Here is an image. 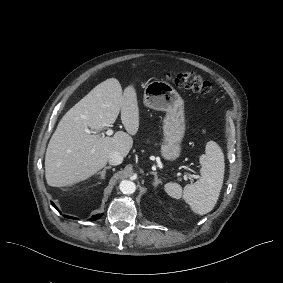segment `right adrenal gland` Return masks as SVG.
Returning a JSON list of instances; mask_svg holds the SVG:
<instances>
[{
  "mask_svg": "<svg viewBox=\"0 0 283 283\" xmlns=\"http://www.w3.org/2000/svg\"><path fill=\"white\" fill-rule=\"evenodd\" d=\"M111 169V166L105 167L102 171H97L96 174H101L103 179H106V171Z\"/></svg>",
  "mask_w": 283,
  "mask_h": 283,
  "instance_id": "2a0ac1e0",
  "label": "right adrenal gland"
}]
</instances>
